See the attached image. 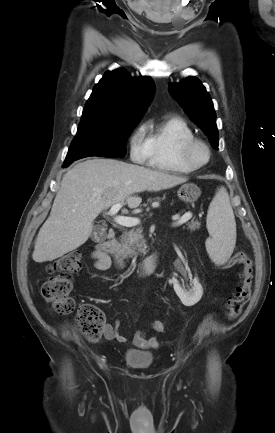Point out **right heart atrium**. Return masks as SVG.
<instances>
[{"instance_id":"d8ad5b80","label":"right heart atrium","mask_w":275,"mask_h":433,"mask_svg":"<svg viewBox=\"0 0 275 433\" xmlns=\"http://www.w3.org/2000/svg\"><path fill=\"white\" fill-rule=\"evenodd\" d=\"M130 157L136 163H144L148 159L147 138L144 126L134 130L129 139Z\"/></svg>"}]
</instances>
